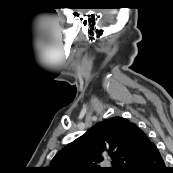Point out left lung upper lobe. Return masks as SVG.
Wrapping results in <instances>:
<instances>
[{
    "instance_id": "1",
    "label": "left lung upper lobe",
    "mask_w": 173,
    "mask_h": 173,
    "mask_svg": "<svg viewBox=\"0 0 173 173\" xmlns=\"http://www.w3.org/2000/svg\"><path fill=\"white\" fill-rule=\"evenodd\" d=\"M146 134L133 122L113 117L97 123L52 159L56 173H127L146 148ZM110 156L112 167H99Z\"/></svg>"
}]
</instances>
